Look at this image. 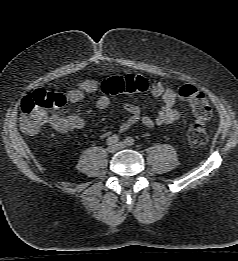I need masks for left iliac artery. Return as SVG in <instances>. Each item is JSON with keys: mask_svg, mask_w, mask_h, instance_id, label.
I'll return each mask as SVG.
<instances>
[{"mask_svg": "<svg viewBox=\"0 0 238 261\" xmlns=\"http://www.w3.org/2000/svg\"><path fill=\"white\" fill-rule=\"evenodd\" d=\"M125 143H126V145H128V146H132V145H134V139H133L132 137H127V138L125 139Z\"/></svg>", "mask_w": 238, "mask_h": 261, "instance_id": "left-iliac-artery-1", "label": "left iliac artery"}]
</instances>
